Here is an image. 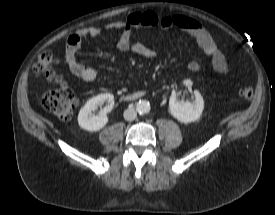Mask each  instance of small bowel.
I'll return each mask as SVG.
<instances>
[{
  "label": "small bowel",
  "instance_id": "1",
  "mask_svg": "<svg viewBox=\"0 0 275 215\" xmlns=\"http://www.w3.org/2000/svg\"><path fill=\"white\" fill-rule=\"evenodd\" d=\"M160 27L162 29L177 28L190 35L200 49L211 58L213 68L220 73L229 71L230 66L225 55L218 49L210 33L196 19L180 14H161L153 10L135 12L125 20H118L107 23L102 28H82L72 33L67 40L64 52V62L70 71L87 83H93L97 78L95 69L86 66L78 59V52L83 40L86 37H97L103 30L121 31L118 48L122 51H129L147 59H154L157 53L150 47L131 41V35L136 28ZM201 67L198 60H192L188 64L191 71H197Z\"/></svg>",
  "mask_w": 275,
  "mask_h": 215
}]
</instances>
